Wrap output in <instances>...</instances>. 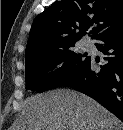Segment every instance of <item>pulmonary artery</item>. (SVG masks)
I'll use <instances>...</instances> for the list:
<instances>
[{
    "instance_id": "obj_1",
    "label": "pulmonary artery",
    "mask_w": 123,
    "mask_h": 130,
    "mask_svg": "<svg viewBox=\"0 0 123 130\" xmlns=\"http://www.w3.org/2000/svg\"><path fill=\"white\" fill-rule=\"evenodd\" d=\"M84 46L86 49H90L92 47V44L90 42H85Z\"/></svg>"
}]
</instances>
